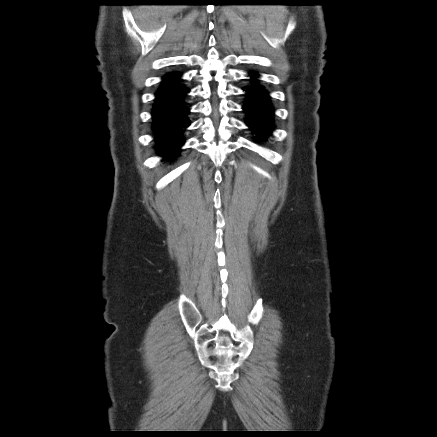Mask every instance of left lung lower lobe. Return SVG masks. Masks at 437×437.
<instances>
[{
  "label": "left lung lower lobe",
  "instance_id": "1",
  "mask_svg": "<svg viewBox=\"0 0 437 437\" xmlns=\"http://www.w3.org/2000/svg\"><path fill=\"white\" fill-rule=\"evenodd\" d=\"M250 84L243 87L245 92V101L242 109L246 114V124L255 133L256 140L266 139L273 130V106L267 90L258 80V73L251 72Z\"/></svg>",
  "mask_w": 437,
  "mask_h": 437
}]
</instances>
